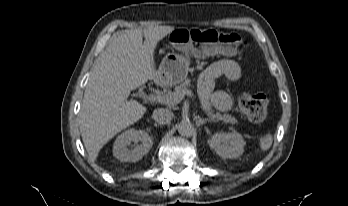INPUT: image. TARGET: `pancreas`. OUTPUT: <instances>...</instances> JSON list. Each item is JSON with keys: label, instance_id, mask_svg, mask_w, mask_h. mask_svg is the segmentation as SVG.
<instances>
[{"label": "pancreas", "instance_id": "obj_1", "mask_svg": "<svg viewBox=\"0 0 348 206\" xmlns=\"http://www.w3.org/2000/svg\"><path fill=\"white\" fill-rule=\"evenodd\" d=\"M191 86V80L185 79L179 86L174 88V92H182L187 90V88ZM207 115L210 117L212 121H222L225 124H237L238 121L235 117H232L229 114H220L219 112H214L213 110L207 111Z\"/></svg>", "mask_w": 348, "mask_h": 206}]
</instances>
